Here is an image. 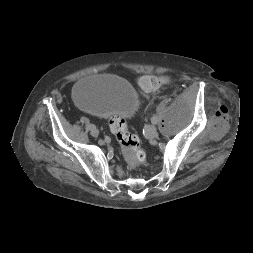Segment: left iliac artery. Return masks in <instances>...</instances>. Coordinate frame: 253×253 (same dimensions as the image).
<instances>
[{
    "label": "left iliac artery",
    "mask_w": 253,
    "mask_h": 253,
    "mask_svg": "<svg viewBox=\"0 0 253 253\" xmlns=\"http://www.w3.org/2000/svg\"><path fill=\"white\" fill-rule=\"evenodd\" d=\"M151 121H152L153 124H157L158 123V117L157 116H153L151 118Z\"/></svg>",
    "instance_id": "44dca946"
}]
</instances>
